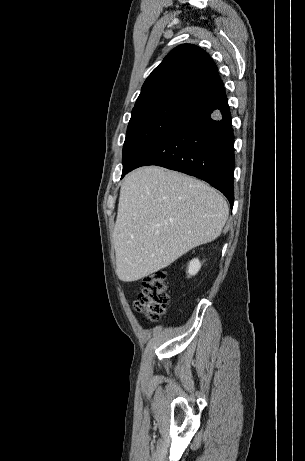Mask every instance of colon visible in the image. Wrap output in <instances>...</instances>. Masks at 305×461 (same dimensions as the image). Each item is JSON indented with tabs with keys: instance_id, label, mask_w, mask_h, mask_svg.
Instances as JSON below:
<instances>
[{
	"instance_id": "obj_1",
	"label": "colon",
	"mask_w": 305,
	"mask_h": 461,
	"mask_svg": "<svg viewBox=\"0 0 305 461\" xmlns=\"http://www.w3.org/2000/svg\"><path fill=\"white\" fill-rule=\"evenodd\" d=\"M168 303L165 272L158 271L145 276L142 289L134 301L135 311L145 313L151 320L156 321L166 312Z\"/></svg>"
}]
</instances>
